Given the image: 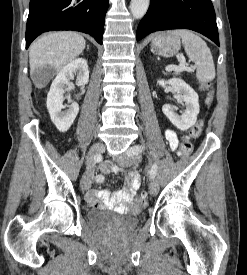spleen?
Returning <instances> with one entry per match:
<instances>
[{"instance_id":"3e777b00","label":"spleen","mask_w":247,"mask_h":275,"mask_svg":"<svg viewBox=\"0 0 247 275\" xmlns=\"http://www.w3.org/2000/svg\"><path fill=\"white\" fill-rule=\"evenodd\" d=\"M171 35L182 39L187 56L197 66L196 77L200 82H209L215 78L213 57L206 42L190 30L178 29Z\"/></svg>"}]
</instances>
